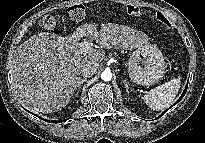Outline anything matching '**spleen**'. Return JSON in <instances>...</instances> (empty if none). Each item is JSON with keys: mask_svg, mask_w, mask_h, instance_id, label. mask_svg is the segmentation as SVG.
<instances>
[{"mask_svg": "<svg viewBox=\"0 0 205 143\" xmlns=\"http://www.w3.org/2000/svg\"><path fill=\"white\" fill-rule=\"evenodd\" d=\"M180 87L181 78L178 77L150 90L144 95L143 100L149 108L163 110L173 103Z\"/></svg>", "mask_w": 205, "mask_h": 143, "instance_id": "spleen-1", "label": "spleen"}]
</instances>
